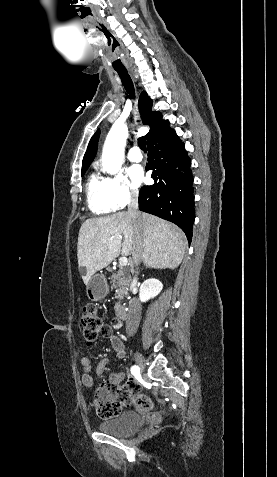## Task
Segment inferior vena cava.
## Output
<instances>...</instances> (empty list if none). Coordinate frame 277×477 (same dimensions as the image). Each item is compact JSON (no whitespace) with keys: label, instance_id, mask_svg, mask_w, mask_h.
I'll return each instance as SVG.
<instances>
[{"label":"inferior vena cava","instance_id":"1","mask_svg":"<svg viewBox=\"0 0 277 477\" xmlns=\"http://www.w3.org/2000/svg\"><path fill=\"white\" fill-rule=\"evenodd\" d=\"M128 213L131 215L134 221V226L136 228V241H135V251L133 253V260L135 266L137 267L141 261V221H140V212L138 210V193L131 192L130 201L128 204ZM138 270V268H137ZM132 284L136 286L137 284V274L135 272ZM141 319V307L136 299H133L129 305V312L126 321V333L129 336H132L136 333Z\"/></svg>","mask_w":277,"mask_h":477}]
</instances>
